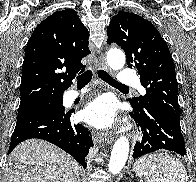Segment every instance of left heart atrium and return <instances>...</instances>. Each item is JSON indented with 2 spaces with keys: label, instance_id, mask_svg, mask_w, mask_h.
I'll return each mask as SVG.
<instances>
[{
  "label": "left heart atrium",
  "instance_id": "left-heart-atrium-1",
  "mask_svg": "<svg viewBox=\"0 0 196 182\" xmlns=\"http://www.w3.org/2000/svg\"><path fill=\"white\" fill-rule=\"evenodd\" d=\"M116 105L112 98L101 96L83 111V119L97 128H108L115 122Z\"/></svg>",
  "mask_w": 196,
  "mask_h": 182
}]
</instances>
